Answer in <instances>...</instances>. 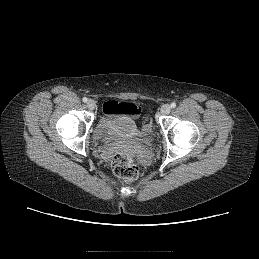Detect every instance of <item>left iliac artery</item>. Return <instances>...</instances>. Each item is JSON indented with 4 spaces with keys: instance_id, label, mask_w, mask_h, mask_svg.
I'll list each match as a JSON object with an SVG mask.
<instances>
[{
    "instance_id": "left-iliac-artery-1",
    "label": "left iliac artery",
    "mask_w": 259,
    "mask_h": 259,
    "mask_svg": "<svg viewBox=\"0 0 259 259\" xmlns=\"http://www.w3.org/2000/svg\"><path fill=\"white\" fill-rule=\"evenodd\" d=\"M176 107V103L175 102H172L171 103V108H175Z\"/></svg>"
}]
</instances>
